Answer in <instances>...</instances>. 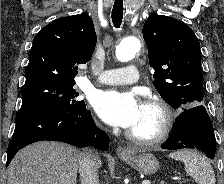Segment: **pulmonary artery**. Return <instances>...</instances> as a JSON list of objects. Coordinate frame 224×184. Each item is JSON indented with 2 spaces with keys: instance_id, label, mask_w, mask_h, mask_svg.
<instances>
[{
  "instance_id": "1",
  "label": "pulmonary artery",
  "mask_w": 224,
  "mask_h": 184,
  "mask_svg": "<svg viewBox=\"0 0 224 184\" xmlns=\"http://www.w3.org/2000/svg\"><path fill=\"white\" fill-rule=\"evenodd\" d=\"M137 80L138 69L134 65L106 70L98 78L99 83L109 85L132 84Z\"/></svg>"
}]
</instances>
